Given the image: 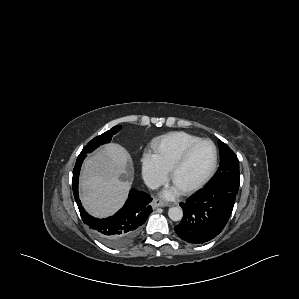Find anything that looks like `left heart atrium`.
Instances as JSON below:
<instances>
[{"label": "left heart atrium", "instance_id": "left-heart-atrium-1", "mask_svg": "<svg viewBox=\"0 0 299 299\" xmlns=\"http://www.w3.org/2000/svg\"><path fill=\"white\" fill-rule=\"evenodd\" d=\"M180 191H181V190H180L178 187L174 186V187H172L171 189L165 191V192H164V196H165L166 198H173V197H175L176 195H178Z\"/></svg>", "mask_w": 299, "mask_h": 299}]
</instances>
